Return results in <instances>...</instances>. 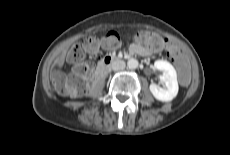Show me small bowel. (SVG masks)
<instances>
[{"label":"small bowel","instance_id":"1","mask_svg":"<svg viewBox=\"0 0 230 155\" xmlns=\"http://www.w3.org/2000/svg\"><path fill=\"white\" fill-rule=\"evenodd\" d=\"M163 47H152V46H143L139 44L138 42H135L131 45L130 49L132 52L139 54V55H150L153 53L158 52Z\"/></svg>","mask_w":230,"mask_h":155}]
</instances>
